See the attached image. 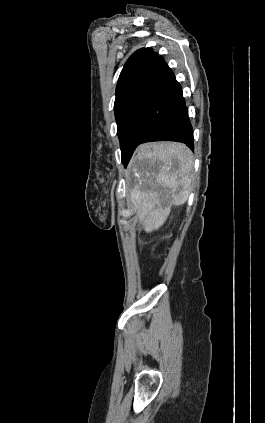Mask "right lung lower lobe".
<instances>
[{"label":"right lung lower lobe","instance_id":"obj_1","mask_svg":"<svg viewBox=\"0 0 265 423\" xmlns=\"http://www.w3.org/2000/svg\"><path fill=\"white\" fill-rule=\"evenodd\" d=\"M149 141H176L194 149L193 129L182 89L171 70L146 95L126 128L122 146L126 166L135 148Z\"/></svg>","mask_w":265,"mask_h":423}]
</instances>
